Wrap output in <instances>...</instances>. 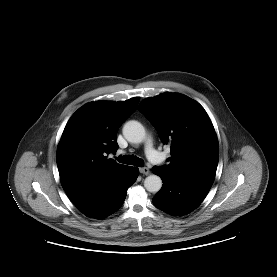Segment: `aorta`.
<instances>
[{
    "label": "aorta",
    "instance_id": "obj_1",
    "mask_svg": "<svg viewBox=\"0 0 277 277\" xmlns=\"http://www.w3.org/2000/svg\"><path fill=\"white\" fill-rule=\"evenodd\" d=\"M125 139L130 143H141L144 141L146 132L143 125L135 120L125 123L122 129ZM144 187L151 193L158 192L162 187V180L158 175L152 174L145 178Z\"/></svg>",
    "mask_w": 277,
    "mask_h": 277
}]
</instances>
